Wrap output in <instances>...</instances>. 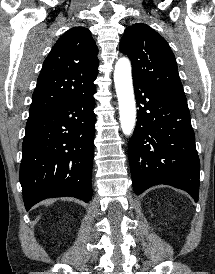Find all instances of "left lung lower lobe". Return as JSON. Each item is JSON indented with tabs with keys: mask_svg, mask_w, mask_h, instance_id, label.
Here are the masks:
<instances>
[{
	"mask_svg": "<svg viewBox=\"0 0 215 274\" xmlns=\"http://www.w3.org/2000/svg\"><path fill=\"white\" fill-rule=\"evenodd\" d=\"M133 82L139 110L128 157L135 194L167 184L197 202L200 162L187 102Z\"/></svg>",
	"mask_w": 215,
	"mask_h": 274,
	"instance_id": "left-lung-lower-lobe-1",
	"label": "left lung lower lobe"
}]
</instances>
